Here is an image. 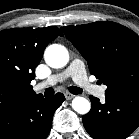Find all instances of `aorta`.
Masks as SVG:
<instances>
[{"label":"aorta","instance_id":"obj_1","mask_svg":"<svg viewBox=\"0 0 139 139\" xmlns=\"http://www.w3.org/2000/svg\"><path fill=\"white\" fill-rule=\"evenodd\" d=\"M46 63L52 68H63L69 61L67 49L59 44L48 46L44 53ZM72 108L79 114H87L91 109V103L84 97L77 96L72 101Z\"/></svg>","mask_w":139,"mask_h":139}]
</instances>
